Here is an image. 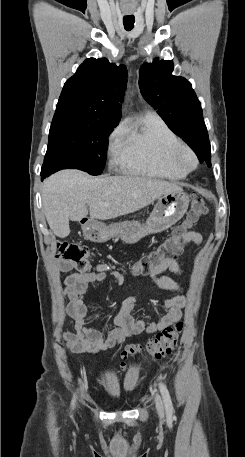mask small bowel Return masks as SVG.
Segmentation results:
<instances>
[{"instance_id": "c3829d8e", "label": "small bowel", "mask_w": 245, "mask_h": 457, "mask_svg": "<svg viewBox=\"0 0 245 457\" xmlns=\"http://www.w3.org/2000/svg\"><path fill=\"white\" fill-rule=\"evenodd\" d=\"M201 241L202 237L198 232L188 231L184 235V244H200ZM56 265L62 272H68L74 268L71 263L63 260H57ZM166 271H170L176 276L183 274L181 266L173 258L159 264L150 273V276L159 288L180 292L182 290L180 284L172 277L165 275ZM107 275L112 277L118 284H122L124 281L123 275L118 271L110 270L108 267H99L94 270L72 274L63 282L64 293L68 298L66 312L75 322L74 331L64 332L63 337L72 352L97 353L102 350L112 349L128 337L144 332L151 334L161 331L181 318L182 309L186 304V299L182 295L166 300L164 303V307L167 310L166 314L158 322L149 324L144 320H135L132 317L136 301L134 298L129 297L121 303L118 312L113 317L115 327L104 338L100 331L86 326L87 308L82 298L90 283L103 281Z\"/></svg>"}]
</instances>
